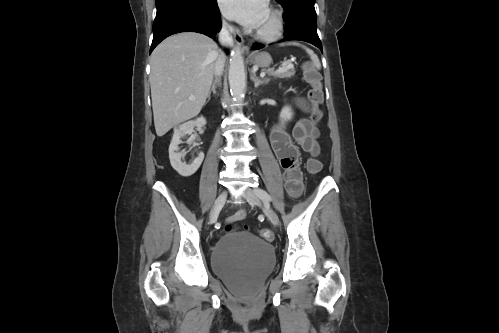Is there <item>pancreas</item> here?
<instances>
[{
  "label": "pancreas",
  "instance_id": "pancreas-1",
  "mask_svg": "<svg viewBox=\"0 0 499 333\" xmlns=\"http://www.w3.org/2000/svg\"><path fill=\"white\" fill-rule=\"evenodd\" d=\"M268 75L274 76L276 78H290L295 75V70L292 67L291 69H284L282 71H274V69L267 70Z\"/></svg>",
  "mask_w": 499,
  "mask_h": 333
}]
</instances>
